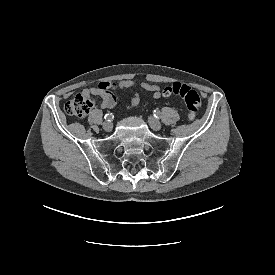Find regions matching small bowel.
Masks as SVG:
<instances>
[{
  "label": "small bowel",
  "mask_w": 275,
  "mask_h": 275,
  "mask_svg": "<svg viewBox=\"0 0 275 275\" xmlns=\"http://www.w3.org/2000/svg\"><path fill=\"white\" fill-rule=\"evenodd\" d=\"M139 86L141 89H143L146 92L152 93L153 98H159L162 95L161 87L157 84L143 81L139 84L136 83V81L132 79H124L119 82H108L104 81L101 82L96 87H90L86 88L83 91L84 96H98L102 99V103L100 104V108H115L116 107V98L114 94L112 93L115 89H121L126 90L133 87ZM140 94L136 92L131 99L130 103L126 106L127 109H132L136 107L140 102Z\"/></svg>",
  "instance_id": "1"
}]
</instances>
